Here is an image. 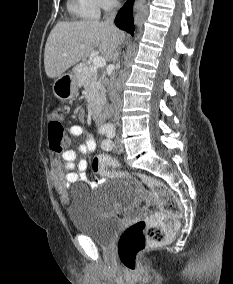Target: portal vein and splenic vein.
<instances>
[{
    "mask_svg": "<svg viewBox=\"0 0 233 284\" xmlns=\"http://www.w3.org/2000/svg\"><path fill=\"white\" fill-rule=\"evenodd\" d=\"M92 65L94 68H102L106 65V61L103 57L96 56L93 58Z\"/></svg>",
    "mask_w": 233,
    "mask_h": 284,
    "instance_id": "1",
    "label": "portal vein and splenic vein"
}]
</instances>
